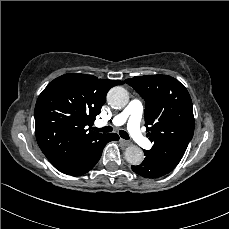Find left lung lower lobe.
Here are the masks:
<instances>
[{
	"mask_svg": "<svg viewBox=\"0 0 229 229\" xmlns=\"http://www.w3.org/2000/svg\"><path fill=\"white\" fill-rule=\"evenodd\" d=\"M145 158L140 165L131 166L132 170L137 173L138 175L145 177L156 179L160 178L169 172L160 169L149 157L146 155L147 152L144 150Z\"/></svg>",
	"mask_w": 229,
	"mask_h": 229,
	"instance_id": "left-lung-lower-lobe-1",
	"label": "left lung lower lobe"
}]
</instances>
